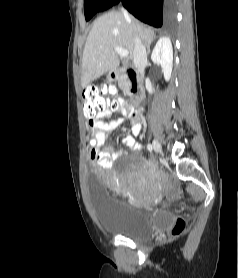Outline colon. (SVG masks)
Masks as SVG:
<instances>
[{
    "instance_id": "5ec220e1",
    "label": "colon",
    "mask_w": 238,
    "mask_h": 278,
    "mask_svg": "<svg viewBox=\"0 0 238 278\" xmlns=\"http://www.w3.org/2000/svg\"><path fill=\"white\" fill-rule=\"evenodd\" d=\"M112 88H90L83 93V113L88 120L89 128H86L87 146H96L94 140V125L97 116L105 110H115L117 108L116 101L112 97ZM127 108H131L128 102L125 103ZM186 228V222L182 218L175 220L172 228L171 235L174 237L180 236Z\"/></svg>"
}]
</instances>
